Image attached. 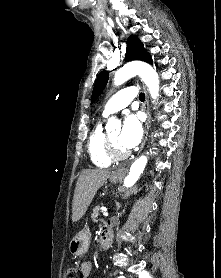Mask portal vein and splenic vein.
Returning <instances> with one entry per match:
<instances>
[{
    "instance_id": "1",
    "label": "portal vein and splenic vein",
    "mask_w": 221,
    "mask_h": 278,
    "mask_svg": "<svg viewBox=\"0 0 221 278\" xmlns=\"http://www.w3.org/2000/svg\"><path fill=\"white\" fill-rule=\"evenodd\" d=\"M102 213H103L104 216H108L109 215L107 210H104Z\"/></svg>"
}]
</instances>
